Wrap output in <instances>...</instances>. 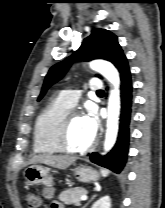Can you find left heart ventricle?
Listing matches in <instances>:
<instances>
[{"mask_svg":"<svg viewBox=\"0 0 165 208\" xmlns=\"http://www.w3.org/2000/svg\"><path fill=\"white\" fill-rule=\"evenodd\" d=\"M68 144L74 149H82L87 147L93 139L90 137L83 117H74L67 136Z\"/></svg>","mask_w":165,"mask_h":208,"instance_id":"b2bd125f","label":"left heart ventricle"}]
</instances>
